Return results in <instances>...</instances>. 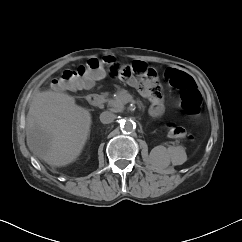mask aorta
I'll use <instances>...</instances> for the list:
<instances>
[{
	"instance_id": "1",
	"label": "aorta",
	"mask_w": 242,
	"mask_h": 242,
	"mask_svg": "<svg viewBox=\"0 0 242 242\" xmlns=\"http://www.w3.org/2000/svg\"><path fill=\"white\" fill-rule=\"evenodd\" d=\"M120 127L124 132H132L136 128V124L132 120H123L120 124Z\"/></svg>"
}]
</instances>
